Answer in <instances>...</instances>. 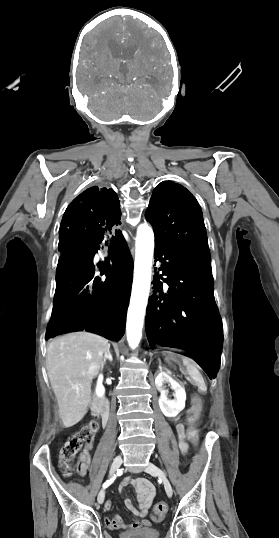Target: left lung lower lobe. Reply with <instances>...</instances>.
Wrapping results in <instances>:
<instances>
[{
    "instance_id": "obj_1",
    "label": "left lung lower lobe",
    "mask_w": 279,
    "mask_h": 538,
    "mask_svg": "<svg viewBox=\"0 0 279 538\" xmlns=\"http://www.w3.org/2000/svg\"><path fill=\"white\" fill-rule=\"evenodd\" d=\"M154 258L162 264L161 275L156 274L153 280L156 292L147 307L150 347L160 345L189 352L212 379L220 367L223 333L214 299L211 256L156 244ZM160 279L167 283L168 290Z\"/></svg>"
}]
</instances>
